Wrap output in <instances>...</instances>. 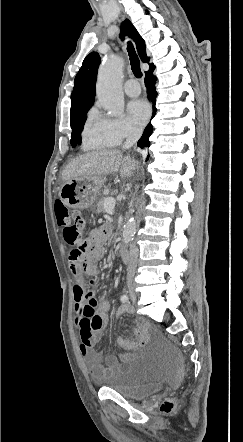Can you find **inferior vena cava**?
<instances>
[{
	"label": "inferior vena cava",
	"instance_id": "inferior-vena-cava-1",
	"mask_svg": "<svg viewBox=\"0 0 243 442\" xmlns=\"http://www.w3.org/2000/svg\"><path fill=\"white\" fill-rule=\"evenodd\" d=\"M142 134V130L136 127H133L130 131L129 136L127 137L123 148L124 149H130L137 141L139 140L140 136ZM138 248L135 244L131 245L130 248V254H129V264L127 268V276L129 278H133L136 267H137V261H138Z\"/></svg>",
	"mask_w": 243,
	"mask_h": 442
}]
</instances>
